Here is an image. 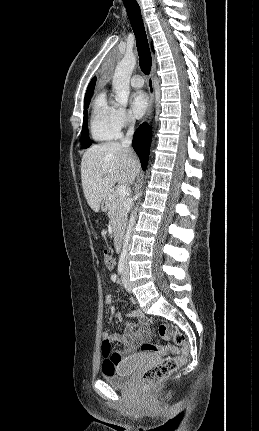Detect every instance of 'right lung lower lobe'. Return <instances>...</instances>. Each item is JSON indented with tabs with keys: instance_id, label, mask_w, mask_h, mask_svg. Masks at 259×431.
Wrapping results in <instances>:
<instances>
[{
	"instance_id": "obj_1",
	"label": "right lung lower lobe",
	"mask_w": 259,
	"mask_h": 431,
	"mask_svg": "<svg viewBox=\"0 0 259 431\" xmlns=\"http://www.w3.org/2000/svg\"><path fill=\"white\" fill-rule=\"evenodd\" d=\"M151 136L152 129L146 122L138 127L133 136L132 146L140 159L143 170L146 169L148 162Z\"/></svg>"
}]
</instances>
